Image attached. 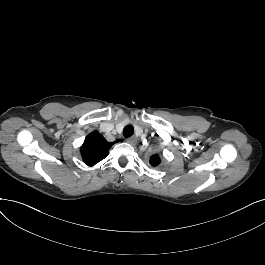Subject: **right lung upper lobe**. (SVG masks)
Segmentation results:
<instances>
[{
    "instance_id": "obj_1",
    "label": "right lung upper lobe",
    "mask_w": 265,
    "mask_h": 265,
    "mask_svg": "<svg viewBox=\"0 0 265 265\" xmlns=\"http://www.w3.org/2000/svg\"><path fill=\"white\" fill-rule=\"evenodd\" d=\"M121 141L117 140L116 142ZM114 143L107 142L106 139L97 131H93L86 138L81 146V156L83 161L92 166L108 155L109 148Z\"/></svg>"
}]
</instances>
